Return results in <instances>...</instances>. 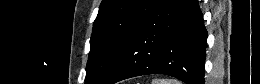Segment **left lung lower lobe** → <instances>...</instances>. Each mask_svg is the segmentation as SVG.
<instances>
[{
    "label": "left lung lower lobe",
    "instance_id": "left-lung-lower-lobe-1",
    "mask_svg": "<svg viewBox=\"0 0 260 84\" xmlns=\"http://www.w3.org/2000/svg\"><path fill=\"white\" fill-rule=\"evenodd\" d=\"M206 39L197 0H158L102 84L155 73L204 84Z\"/></svg>",
    "mask_w": 260,
    "mask_h": 84
}]
</instances>
